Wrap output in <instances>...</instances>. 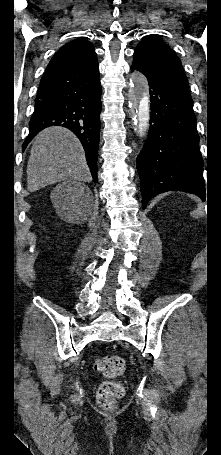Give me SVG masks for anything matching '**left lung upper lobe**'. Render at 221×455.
Instances as JSON below:
<instances>
[{
    "label": "left lung upper lobe",
    "instance_id": "5c2ea615",
    "mask_svg": "<svg viewBox=\"0 0 221 455\" xmlns=\"http://www.w3.org/2000/svg\"><path fill=\"white\" fill-rule=\"evenodd\" d=\"M133 57L132 66L138 71L158 77L190 95L180 59L161 39L154 35L144 38Z\"/></svg>",
    "mask_w": 221,
    "mask_h": 455
}]
</instances>
